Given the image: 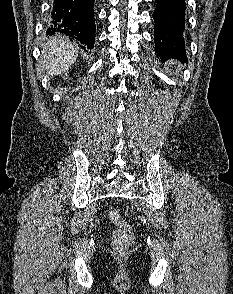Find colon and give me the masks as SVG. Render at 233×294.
<instances>
[{
	"instance_id": "1",
	"label": "colon",
	"mask_w": 233,
	"mask_h": 294,
	"mask_svg": "<svg viewBox=\"0 0 233 294\" xmlns=\"http://www.w3.org/2000/svg\"><path fill=\"white\" fill-rule=\"evenodd\" d=\"M109 220L117 226L113 233V245L118 251L126 250L133 241V232L128 223H126L118 210L109 212Z\"/></svg>"
}]
</instances>
